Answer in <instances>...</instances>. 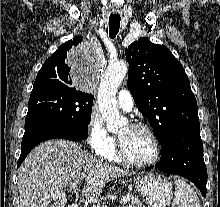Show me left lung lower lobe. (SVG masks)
Wrapping results in <instances>:
<instances>
[{"label": "left lung lower lobe", "mask_w": 220, "mask_h": 207, "mask_svg": "<svg viewBox=\"0 0 220 207\" xmlns=\"http://www.w3.org/2000/svg\"><path fill=\"white\" fill-rule=\"evenodd\" d=\"M161 171L180 175L191 180L206 196L207 169L203 159V144L199 125L179 130L162 145Z\"/></svg>", "instance_id": "0a47b994"}]
</instances>
